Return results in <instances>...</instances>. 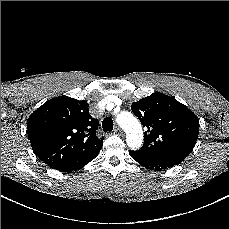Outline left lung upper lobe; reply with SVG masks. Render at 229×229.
<instances>
[{"label":"left lung upper lobe","instance_id":"left-lung-upper-lobe-1","mask_svg":"<svg viewBox=\"0 0 229 229\" xmlns=\"http://www.w3.org/2000/svg\"><path fill=\"white\" fill-rule=\"evenodd\" d=\"M133 113L147 128L137 156L182 162L193 150L199 133V119L175 98L155 92L132 103Z\"/></svg>","mask_w":229,"mask_h":229}]
</instances>
